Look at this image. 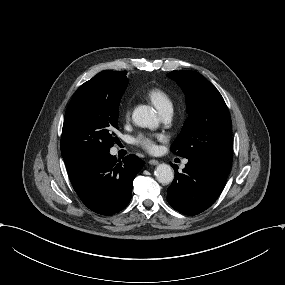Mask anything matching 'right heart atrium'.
I'll return each mask as SVG.
<instances>
[{"instance_id": "1", "label": "right heart atrium", "mask_w": 285, "mask_h": 285, "mask_svg": "<svg viewBox=\"0 0 285 285\" xmlns=\"http://www.w3.org/2000/svg\"><path fill=\"white\" fill-rule=\"evenodd\" d=\"M131 107H132L131 104H129L127 108L125 109V112H124L125 117H128L130 115Z\"/></svg>"}]
</instances>
